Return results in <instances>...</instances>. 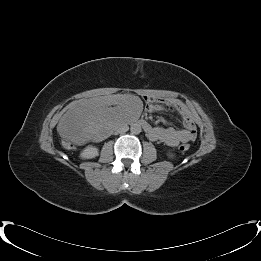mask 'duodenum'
<instances>
[{
    "instance_id": "obj_1",
    "label": "duodenum",
    "mask_w": 261,
    "mask_h": 261,
    "mask_svg": "<svg viewBox=\"0 0 261 261\" xmlns=\"http://www.w3.org/2000/svg\"><path fill=\"white\" fill-rule=\"evenodd\" d=\"M147 133H149L151 131V126L149 125V123L145 120H139L137 122Z\"/></svg>"
}]
</instances>
